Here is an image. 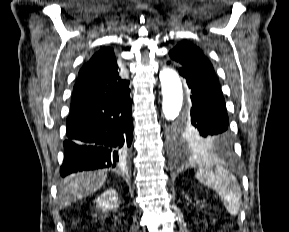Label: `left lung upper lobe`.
Returning a JSON list of instances; mask_svg holds the SVG:
<instances>
[{"mask_svg":"<svg viewBox=\"0 0 289 232\" xmlns=\"http://www.w3.org/2000/svg\"><path fill=\"white\" fill-rule=\"evenodd\" d=\"M170 60L178 65L204 72L217 79L213 66L203 52L195 45L180 42L170 52ZM173 144L177 149L187 151H211L213 143L199 136L189 124L178 122L173 129Z\"/></svg>","mask_w":289,"mask_h":232,"instance_id":"left-lung-upper-lobe-1","label":"left lung upper lobe"}]
</instances>
